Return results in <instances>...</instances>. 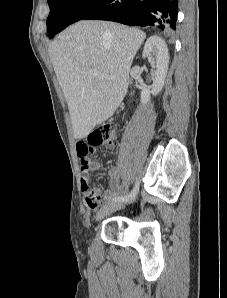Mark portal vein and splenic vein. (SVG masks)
I'll list each match as a JSON object with an SVG mask.
<instances>
[{
    "instance_id": "obj_1",
    "label": "portal vein and splenic vein",
    "mask_w": 227,
    "mask_h": 298,
    "mask_svg": "<svg viewBox=\"0 0 227 298\" xmlns=\"http://www.w3.org/2000/svg\"><path fill=\"white\" fill-rule=\"evenodd\" d=\"M90 72H91V74H92L93 76H98V75H99V72L96 71V70H91ZM109 78L112 79L111 76H109Z\"/></svg>"
}]
</instances>
